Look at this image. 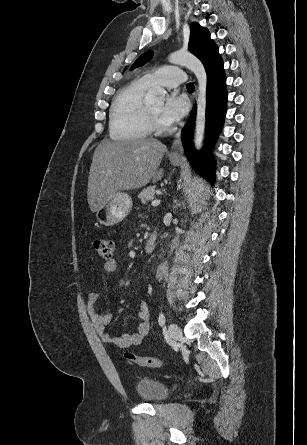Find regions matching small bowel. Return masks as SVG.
<instances>
[{"instance_id": "1", "label": "small bowel", "mask_w": 307, "mask_h": 445, "mask_svg": "<svg viewBox=\"0 0 307 445\" xmlns=\"http://www.w3.org/2000/svg\"><path fill=\"white\" fill-rule=\"evenodd\" d=\"M116 269L117 263L114 259L110 258L104 261L103 271L105 273H114ZM98 298L99 294L96 291H92L88 294L87 310L89 316L92 319L94 327L102 340L106 344L121 349L138 345L150 330V310L148 303L145 301H141L138 305V318L140 319V324L136 332L124 334L121 336H113L107 331V325L110 322L112 316L110 313H99L97 311L96 303L98 301Z\"/></svg>"}]
</instances>
